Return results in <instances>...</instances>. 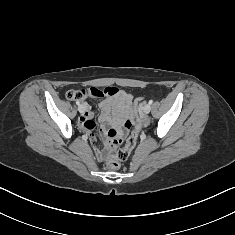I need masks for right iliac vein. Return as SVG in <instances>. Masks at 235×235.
Returning <instances> with one entry per match:
<instances>
[{"mask_svg": "<svg viewBox=\"0 0 235 235\" xmlns=\"http://www.w3.org/2000/svg\"><path fill=\"white\" fill-rule=\"evenodd\" d=\"M78 111H79L80 113H84L85 107H84L83 105H79Z\"/></svg>", "mask_w": 235, "mask_h": 235, "instance_id": "right-iliac-vein-1", "label": "right iliac vein"}]
</instances>
